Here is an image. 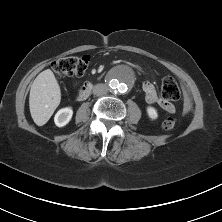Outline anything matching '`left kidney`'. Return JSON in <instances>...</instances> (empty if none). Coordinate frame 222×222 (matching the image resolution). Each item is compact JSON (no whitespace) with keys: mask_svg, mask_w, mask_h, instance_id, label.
<instances>
[{"mask_svg":"<svg viewBox=\"0 0 222 222\" xmlns=\"http://www.w3.org/2000/svg\"><path fill=\"white\" fill-rule=\"evenodd\" d=\"M147 114L151 119H156L158 117L157 110L154 107H147Z\"/></svg>","mask_w":222,"mask_h":222,"instance_id":"left-kidney-1","label":"left kidney"}]
</instances>
